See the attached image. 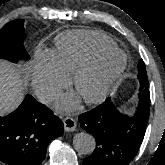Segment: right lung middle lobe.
<instances>
[{"label":"right lung middle lobe","mask_w":165,"mask_h":165,"mask_svg":"<svg viewBox=\"0 0 165 165\" xmlns=\"http://www.w3.org/2000/svg\"><path fill=\"white\" fill-rule=\"evenodd\" d=\"M24 20H13L0 30V58L12 62L27 59L28 54L24 48Z\"/></svg>","instance_id":"obj_1"}]
</instances>
